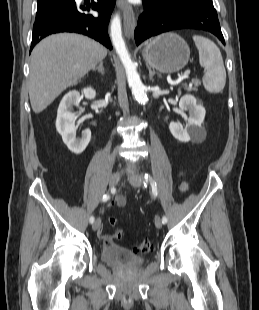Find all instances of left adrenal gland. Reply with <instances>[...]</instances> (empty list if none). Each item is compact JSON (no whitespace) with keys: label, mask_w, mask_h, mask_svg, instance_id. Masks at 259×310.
I'll return each instance as SVG.
<instances>
[{"label":"left adrenal gland","mask_w":259,"mask_h":310,"mask_svg":"<svg viewBox=\"0 0 259 310\" xmlns=\"http://www.w3.org/2000/svg\"><path fill=\"white\" fill-rule=\"evenodd\" d=\"M149 70V79L153 82V76L156 75L155 71H152L150 67H148ZM158 77H161L159 74H157Z\"/></svg>","instance_id":"1"}]
</instances>
